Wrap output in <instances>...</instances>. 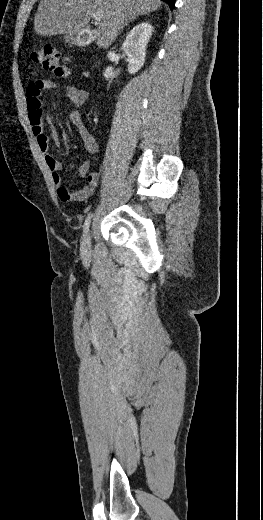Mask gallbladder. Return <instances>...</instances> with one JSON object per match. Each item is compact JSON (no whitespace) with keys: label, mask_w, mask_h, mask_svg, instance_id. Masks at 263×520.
Listing matches in <instances>:
<instances>
[{"label":"gallbladder","mask_w":263,"mask_h":520,"mask_svg":"<svg viewBox=\"0 0 263 520\" xmlns=\"http://www.w3.org/2000/svg\"><path fill=\"white\" fill-rule=\"evenodd\" d=\"M64 40L70 46L78 45L79 44L78 33L65 35Z\"/></svg>","instance_id":"gallbladder-1"}]
</instances>
